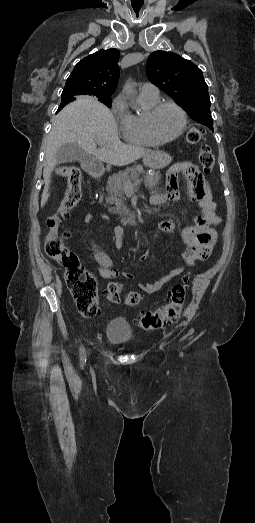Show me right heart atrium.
<instances>
[{"mask_svg": "<svg viewBox=\"0 0 255 523\" xmlns=\"http://www.w3.org/2000/svg\"><path fill=\"white\" fill-rule=\"evenodd\" d=\"M111 110L117 117L121 116L124 111V95L119 94L112 102Z\"/></svg>", "mask_w": 255, "mask_h": 523, "instance_id": "1", "label": "right heart atrium"}]
</instances>
